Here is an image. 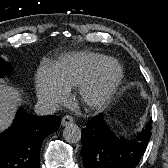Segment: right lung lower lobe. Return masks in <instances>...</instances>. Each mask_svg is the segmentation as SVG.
<instances>
[{"instance_id": "obj_1", "label": "right lung lower lobe", "mask_w": 168, "mask_h": 168, "mask_svg": "<svg viewBox=\"0 0 168 168\" xmlns=\"http://www.w3.org/2000/svg\"><path fill=\"white\" fill-rule=\"evenodd\" d=\"M60 122L58 116H36L21 108L12 126L0 134V168H39L41 144Z\"/></svg>"}]
</instances>
